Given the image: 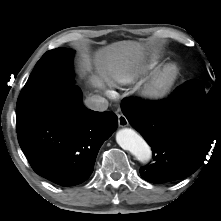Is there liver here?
<instances>
[{
  "mask_svg": "<svg viewBox=\"0 0 221 221\" xmlns=\"http://www.w3.org/2000/svg\"><path fill=\"white\" fill-rule=\"evenodd\" d=\"M144 60V47L135 41H119L95 52L94 63L98 72L103 76H110L115 81L129 77L137 71ZM87 62V66H89ZM91 82L99 86L97 78Z\"/></svg>",
  "mask_w": 221,
  "mask_h": 221,
  "instance_id": "6515ba94",
  "label": "liver"
}]
</instances>
